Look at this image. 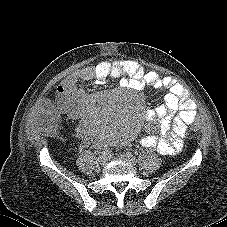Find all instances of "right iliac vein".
I'll list each match as a JSON object with an SVG mask.
<instances>
[{
  "label": "right iliac vein",
  "mask_w": 227,
  "mask_h": 227,
  "mask_svg": "<svg viewBox=\"0 0 227 227\" xmlns=\"http://www.w3.org/2000/svg\"><path fill=\"white\" fill-rule=\"evenodd\" d=\"M107 157L106 156H100L99 158H98V163L100 164V165H105L106 163H107Z\"/></svg>",
  "instance_id": "obj_1"
}]
</instances>
